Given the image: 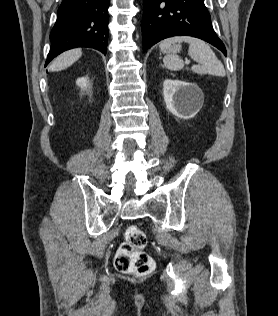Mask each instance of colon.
Masks as SVG:
<instances>
[{
  "mask_svg": "<svg viewBox=\"0 0 278 316\" xmlns=\"http://www.w3.org/2000/svg\"><path fill=\"white\" fill-rule=\"evenodd\" d=\"M147 237L141 227L130 225L125 231V241L120 245L114 260L121 273L144 276L155 267L152 257L144 251Z\"/></svg>",
  "mask_w": 278,
  "mask_h": 316,
  "instance_id": "5ec220e1",
  "label": "colon"
}]
</instances>
